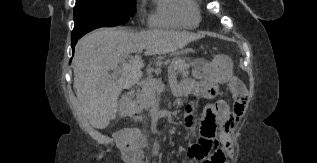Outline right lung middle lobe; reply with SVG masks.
I'll return each mask as SVG.
<instances>
[{
  "label": "right lung middle lobe",
  "instance_id": "right-lung-middle-lobe-1",
  "mask_svg": "<svg viewBox=\"0 0 317 163\" xmlns=\"http://www.w3.org/2000/svg\"><path fill=\"white\" fill-rule=\"evenodd\" d=\"M136 0H76L72 39L99 28L127 23L134 16Z\"/></svg>",
  "mask_w": 317,
  "mask_h": 163
}]
</instances>
